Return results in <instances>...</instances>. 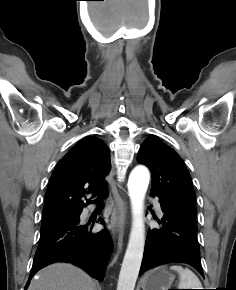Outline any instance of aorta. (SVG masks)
I'll return each instance as SVG.
<instances>
[{
    "mask_svg": "<svg viewBox=\"0 0 236 290\" xmlns=\"http://www.w3.org/2000/svg\"><path fill=\"white\" fill-rule=\"evenodd\" d=\"M149 180V171L144 166H137L129 176L128 194L132 208V227L117 290H134L139 274L145 245L144 199Z\"/></svg>",
    "mask_w": 236,
    "mask_h": 290,
    "instance_id": "obj_1",
    "label": "aorta"
}]
</instances>
